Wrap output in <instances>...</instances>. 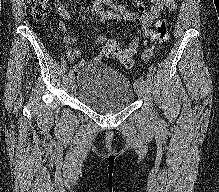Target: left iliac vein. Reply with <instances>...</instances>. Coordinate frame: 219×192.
I'll return each instance as SVG.
<instances>
[{"label":"left iliac vein","mask_w":219,"mask_h":192,"mask_svg":"<svg viewBox=\"0 0 219 192\" xmlns=\"http://www.w3.org/2000/svg\"><path fill=\"white\" fill-rule=\"evenodd\" d=\"M150 81L138 80L136 83V92L140 97L148 98L150 96Z\"/></svg>","instance_id":"4c4485c4"}]
</instances>
